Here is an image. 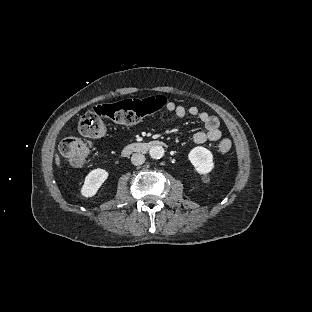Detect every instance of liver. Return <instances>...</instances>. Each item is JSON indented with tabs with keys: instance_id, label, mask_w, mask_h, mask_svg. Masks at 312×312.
<instances>
[{
	"instance_id": "1",
	"label": "liver",
	"mask_w": 312,
	"mask_h": 312,
	"mask_svg": "<svg viewBox=\"0 0 312 312\" xmlns=\"http://www.w3.org/2000/svg\"><path fill=\"white\" fill-rule=\"evenodd\" d=\"M55 162H56V165L59 167L60 166V158L57 154L55 155Z\"/></svg>"
}]
</instances>
